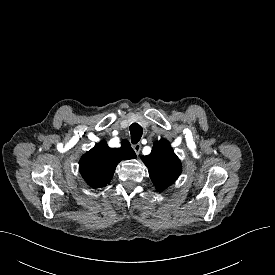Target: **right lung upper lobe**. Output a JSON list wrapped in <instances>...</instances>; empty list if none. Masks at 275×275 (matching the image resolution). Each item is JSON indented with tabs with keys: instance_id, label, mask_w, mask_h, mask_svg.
<instances>
[{
	"instance_id": "cb5924a9",
	"label": "right lung upper lobe",
	"mask_w": 275,
	"mask_h": 275,
	"mask_svg": "<svg viewBox=\"0 0 275 275\" xmlns=\"http://www.w3.org/2000/svg\"><path fill=\"white\" fill-rule=\"evenodd\" d=\"M135 157L136 154L127 140L121 142L120 148H110L105 141H101L82 156L79 170L89 186L100 188L110 182L121 160Z\"/></svg>"
}]
</instances>
